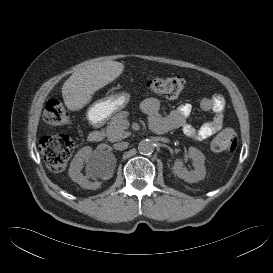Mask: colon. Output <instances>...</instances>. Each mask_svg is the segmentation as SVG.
Returning a JSON list of instances; mask_svg holds the SVG:
<instances>
[{"mask_svg":"<svg viewBox=\"0 0 273 273\" xmlns=\"http://www.w3.org/2000/svg\"><path fill=\"white\" fill-rule=\"evenodd\" d=\"M184 87L185 80L180 76L156 77L146 84V88L151 93L168 98L177 97ZM44 119L52 126L66 124L69 116L63 102L59 99L48 100ZM236 145L235 133L225 129L213 139L211 148L216 152L231 154L236 149ZM39 148L48 168L54 172H60L66 167L74 151V142L67 136H47L41 139Z\"/></svg>","mask_w":273,"mask_h":273,"instance_id":"5ec220e1","label":"colon"}]
</instances>
